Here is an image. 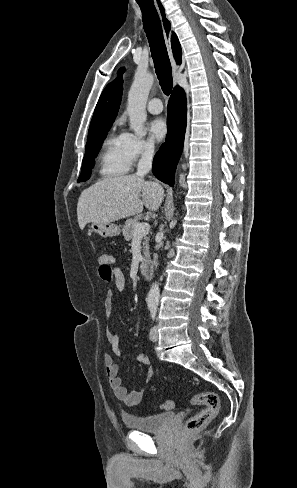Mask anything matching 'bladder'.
I'll list each match as a JSON object with an SVG mask.
<instances>
[{"mask_svg": "<svg viewBox=\"0 0 297 488\" xmlns=\"http://www.w3.org/2000/svg\"><path fill=\"white\" fill-rule=\"evenodd\" d=\"M174 414L172 412H165L150 416H136L129 413L122 415V421L128 429H133L142 432H159L167 427Z\"/></svg>", "mask_w": 297, "mask_h": 488, "instance_id": "1", "label": "bladder"}]
</instances>
